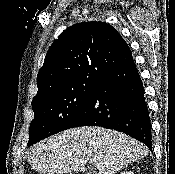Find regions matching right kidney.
I'll return each instance as SVG.
<instances>
[{"label":"right kidney","mask_w":175,"mask_h":174,"mask_svg":"<svg viewBox=\"0 0 175 174\" xmlns=\"http://www.w3.org/2000/svg\"><path fill=\"white\" fill-rule=\"evenodd\" d=\"M120 174H134V173L131 171H124V172H121Z\"/></svg>","instance_id":"right-kidney-1"}]
</instances>
